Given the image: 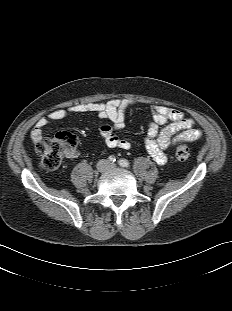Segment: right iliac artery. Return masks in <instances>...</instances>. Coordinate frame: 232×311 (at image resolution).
Masks as SVG:
<instances>
[{
  "label": "right iliac artery",
  "mask_w": 232,
  "mask_h": 311,
  "mask_svg": "<svg viewBox=\"0 0 232 311\" xmlns=\"http://www.w3.org/2000/svg\"><path fill=\"white\" fill-rule=\"evenodd\" d=\"M108 159H109L110 162H115L116 161V158L114 156H110Z\"/></svg>",
  "instance_id": "right-iliac-artery-1"
}]
</instances>
